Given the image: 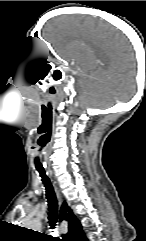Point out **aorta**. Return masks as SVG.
<instances>
[{
    "instance_id": "obj_1",
    "label": "aorta",
    "mask_w": 146,
    "mask_h": 241,
    "mask_svg": "<svg viewBox=\"0 0 146 241\" xmlns=\"http://www.w3.org/2000/svg\"><path fill=\"white\" fill-rule=\"evenodd\" d=\"M29 227H30L31 229H39V228H40V223H39V221H37V220H32V221H30V223H29Z\"/></svg>"
}]
</instances>
